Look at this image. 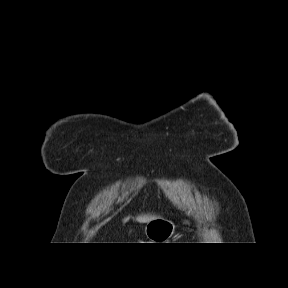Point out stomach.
<instances>
[{
    "label": "stomach",
    "mask_w": 288,
    "mask_h": 288,
    "mask_svg": "<svg viewBox=\"0 0 288 288\" xmlns=\"http://www.w3.org/2000/svg\"><path fill=\"white\" fill-rule=\"evenodd\" d=\"M175 231V225L166 219L155 218L145 226V235L151 243H166Z\"/></svg>",
    "instance_id": "stomach-1"
}]
</instances>
